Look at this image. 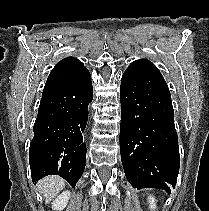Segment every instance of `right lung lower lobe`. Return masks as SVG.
<instances>
[{
	"instance_id": "98d812e1",
	"label": "right lung lower lobe",
	"mask_w": 209,
	"mask_h": 211,
	"mask_svg": "<svg viewBox=\"0 0 209 211\" xmlns=\"http://www.w3.org/2000/svg\"><path fill=\"white\" fill-rule=\"evenodd\" d=\"M92 99L91 76L86 68L42 95L29 149L33 182L47 175H59L72 187L76 185L86 164L83 132Z\"/></svg>"
}]
</instances>
